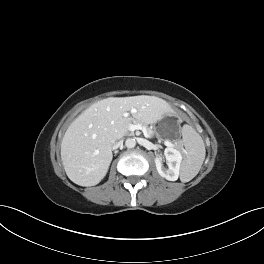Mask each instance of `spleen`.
<instances>
[{
    "mask_svg": "<svg viewBox=\"0 0 264 264\" xmlns=\"http://www.w3.org/2000/svg\"><path fill=\"white\" fill-rule=\"evenodd\" d=\"M181 133L187 154L181 165L180 179L182 182H189L199 173L206 150L203 139L192 126L183 125Z\"/></svg>",
    "mask_w": 264,
    "mask_h": 264,
    "instance_id": "3e777b00",
    "label": "spleen"
}]
</instances>
